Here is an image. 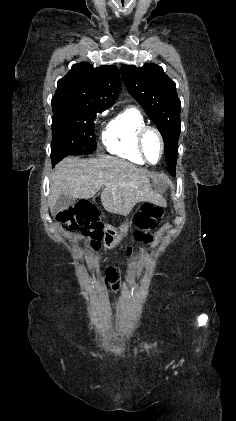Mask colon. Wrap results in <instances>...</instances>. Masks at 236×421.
Returning <instances> with one entry per match:
<instances>
[{"label":"colon","mask_w":236,"mask_h":421,"mask_svg":"<svg viewBox=\"0 0 236 421\" xmlns=\"http://www.w3.org/2000/svg\"><path fill=\"white\" fill-rule=\"evenodd\" d=\"M163 217V209L152 203H144L135 217V224L139 229L137 239L148 243L150 236L148 231L152 230L156 222ZM58 220L67 225L72 230L80 229L82 234L90 239V245L93 248L99 247V241L102 237V224L97 219V212L87 204H82L73 208L63 210L58 214ZM132 252V249H129ZM106 279L110 284L116 287L117 273L113 268L106 271Z\"/></svg>","instance_id":"5ec220e1"}]
</instances>
